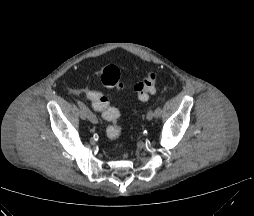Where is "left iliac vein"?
Wrapping results in <instances>:
<instances>
[{"instance_id": "left-iliac-vein-1", "label": "left iliac vein", "mask_w": 254, "mask_h": 216, "mask_svg": "<svg viewBox=\"0 0 254 216\" xmlns=\"http://www.w3.org/2000/svg\"><path fill=\"white\" fill-rule=\"evenodd\" d=\"M154 116H155V113H154V111L153 110H150L148 113H147V116H146V118H147V120H152L153 118H154Z\"/></svg>"}]
</instances>
